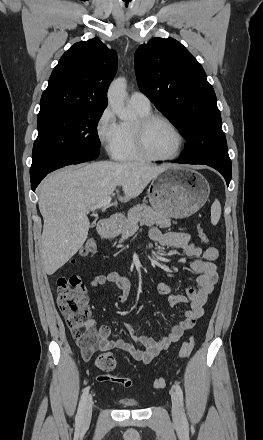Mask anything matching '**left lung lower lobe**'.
<instances>
[{"label": "left lung lower lobe", "mask_w": 263, "mask_h": 440, "mask_svg": "<svg viewBox=\"0 0 263 440\" xmlns=\"http://www.w3.org/2000/svg\"><path fill=\"white\" fill-rule=\"evenodd\" d=\"M174 162L176 163H187L183 158H180L178 160H175ZM190 164V163H189ZM199 164H205L208 165L214 169H216L217 171H219L223 177L226 180L227 185H229L230 180H231V176H232V171H231V164H223V163H199Z\"/></svg>", "instance_id": "0a47b994"}]
</instances>
